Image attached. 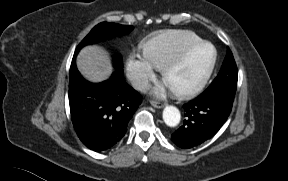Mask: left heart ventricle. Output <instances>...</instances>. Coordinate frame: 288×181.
Returning a JSON list of instances; mask_svg holds the SVG:
<instances>
[{
	"instance_id": "obj_1",
	"label": "left heart ventricle",
	"mask_w": 288,
	"mask_h": 181,
	"mask_svg": "<svg viewBox=\"0 0 288 181\" xmlns=\"http://www.w3.org/2000/svg\"><path fill=\"white\" fill-rule=\"evenodd\" d=\"M213 58V49L204 46L191 54L187 60L166 78L171 88L189 86L198 81L209 68Z\"/></svg>"
}]
</instances>
